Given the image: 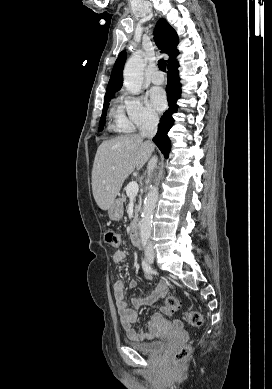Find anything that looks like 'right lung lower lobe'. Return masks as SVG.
I'll list each match as a JSON object with an SVG mask.
<instances>
[{"mask_svg":"<svg viewBox=\"0 0 272 389\" xmlns=\"http://www.w3.org/2000/svg\"><path fill=\"white\" fill-rule=\"evenodd\" d=\"M179 64L177 61L168 65V84L166 87L169 109L163 114L158 125V132L153 138V142L158 146L165 158H168L171 149V142L167 136L168 131L173 126V113L177 112V99L181 96V84L178 72Z\"/></svg>","mask_w":272,"mask_h":389,"instance_id":"1","label":"right lung lower lobe"}]
</instances>
